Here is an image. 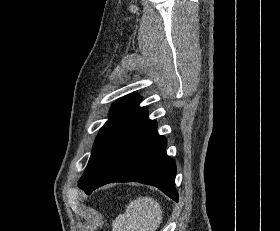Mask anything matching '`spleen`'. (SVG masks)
I'll return each mask as SVG.
<instances>
[{"mask_svg":"<svg viewBox=\"0 0 280 231\" xmlns=\"http://www.w3.org/2000/svg\"><path fill=\"white\" fill-rule=\"evenodd\" d=\"M162 221L160 203L154 197H137L113 221L112 231H155Z\"/></svg>","mask_w":280,"mask_h":231,"instance_id":"spleen-1","label":"spleen"}]
</instances>
